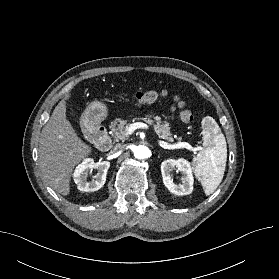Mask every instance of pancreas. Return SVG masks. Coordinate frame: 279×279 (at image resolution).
Instances as JSON below:
<instances>
[{
  "label": "pancreas",
  "mask_w": 279,
  "mask_h": 279,
  "mask_svg": "<svg viewBox=\"0 0 279 279\" xmlns=\"http://www.w3.org/2000/svg\"><path fill=\"white\" fill-rule=\"evenodd\" d=\"M153 117V119H151ZM143 120L153 125L155 132L157 135L165 139L169 142L173 141L172 133L170 131L169 123L164 122L162 123L161 118L159 116H152L148 115ZM128 126V123L126 120H122L121 118L115 119L113 122H111L110 129L112 130L113 137L116 141L119 140H126L128 139L129 135L127 134L126 127Z\"/></svg>",
  "instance_id": "cf45deb5"
}]
</instances>
